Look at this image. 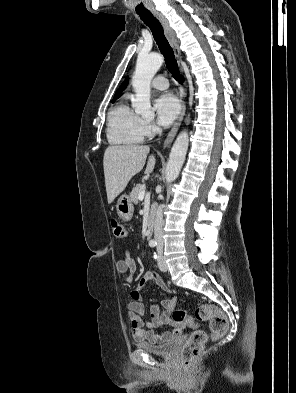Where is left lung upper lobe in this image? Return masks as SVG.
Wrapping results in <instances>:
<instances>
[{
    "label": "left lung upper lobe",
    "mask_w": 296,
    "mask_h": 393,
    "mask_svg": "<svg viewBox=\"0 0 296 393\" xmlns=\"http://www.w3.org/2000/svg\"><path fill=\"white\" fill-rule=\"evenodd\" d=\"M127 84H128V80L126 79V80L122 83V85L119 87V89L116 91L115 96H114V99H113V102H114L116 99H118V98L120 97L119 94L126 88Z\"/></svg>",
    "instance_id": "obj_1"
}]
</instances>
